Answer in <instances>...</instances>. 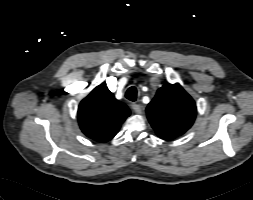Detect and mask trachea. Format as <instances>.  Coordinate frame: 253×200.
<instances>
[{"label": "trachea", "mask_w": 253, "mask_h": 200, "mask_svg": "<svg viewBox=\"0 0 253 200\" xmlns=\"http://www.w3.org/2000/svg\"><path fill=\"white\" fill-rule=\"evenodd\" d=\"M126 98L130 101H135L136 98H137V89L132 86L130 87L127 91H126V94H125Z\"/></svg>", "instance_id": "1"}]
</instances>
